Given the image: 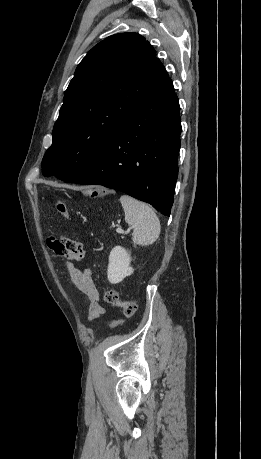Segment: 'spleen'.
<instances>
[{
	"instance_id": "spleen-1",
	"label": "spleen",
	"mask_w": 261,
	"mask_h": 459,
	"mask_svg": "<svg viewBox=\"0 0 261 459\" xmlns=\"http://www.w3.org/2000/svg\"><path fill=\"white\" fill-rule=\"evenodd\" d=\"M120 202L125 212V221L133 228V242L141 246L153 244L160 235V221L147 204L128 195H122Z\"/></svg>"
}]
</instances>
